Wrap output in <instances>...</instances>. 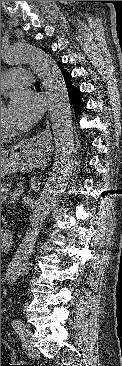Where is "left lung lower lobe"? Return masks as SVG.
<instances>
[{"mask_svg": "<svg viewBox=\"0 0 122 366\" xmlns=\"http://www.w3.org/2000/svg\"><path fill=\"white\" fill-rule=\"evenodd\" d=\"M58 66L62 70V74H63V77H64V81L66 83V88H67V91H68V96H69L70 102L73 105V108L75 110V114H78L79 112H81V110L83 108V103H82V100H81V92L78 88H75L71 84L72 76L70 74L64 72L63 67H62V63L59 62Z\"/></svg>", "mask_w": 122, "mask_h": 366, "instance_id": "left-lung-lower-lobe-1", "label": "left lung lower lobe"}]
</instances>
